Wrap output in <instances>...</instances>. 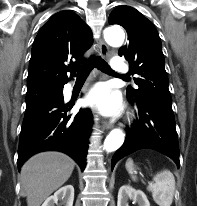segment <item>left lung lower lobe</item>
<instances>
[{
    "instance_id": "obj_1",
    "label": "left lung lower lobe",
    "mask_w": 197,
    "mask_h": 206,
    "mask_svg": "<svg viewBox=\"0 0 197 206\" xmlns=\"http://www.w3.org/2000/svg\"><path fill=\"white\" fill-rule=\"evenodd\" d=\"M139 109V119L126 129V139L115 152L111 167L132 152L151 148L169 156L179 167V146L172 106L154 99L127 96Z\"/></svg>"
}]
</instances>
